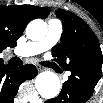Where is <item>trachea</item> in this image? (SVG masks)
<instances>
[{"instance_id": "1", "label": "trachea", "mask_w": 103, "mask_h": 103, "mask_svg": "<svg viewBox=\"0 0 103 103\" xmlns=\"http://www.w3.org/2000/svg\"><path fill=\"white\" fill-rule=\"evenodd\" d=\"M9 64L12 66H20L22 65V61L18 57H13L10 61Z\"/></svg>"}]
</instances>
